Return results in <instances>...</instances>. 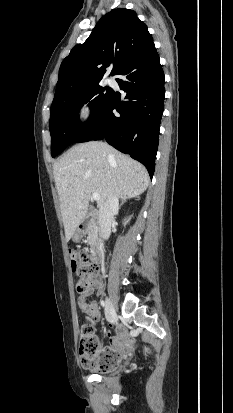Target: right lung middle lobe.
Returning a JSON list of instances; mask_svg holds the SVG:
<instances>
[{"label":"right lung middle lobe","mask_w":233,"mask_h":413,"mask_svg":"<svg viewBox=\"0 0 233 413\" xmlns=\"http://www.w3.org/2000/svg\"><path fill=\"white\" fill-rule=\"evenodd\" d=\"M112 93L113 91L109 87L103 88L99 83H96L52 103L49 121L52 157L60 154L92 125ZM88 102L91 115L86 123H81L78 112Z\"/></svg>","instance_id":"right-lung-middle-lobe-1"}]
</instances>
